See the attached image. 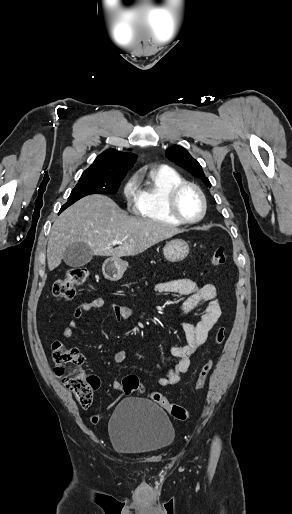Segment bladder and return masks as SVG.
I'll use <instances>...</instances> for the list:
<instances>
[{"mask_svg": "<svg viewBox=\"0 0 292 514\" xmlns=\"http://www.w3.org/2000/svg\"><path fill=\"white\" fill-rule=\"evenodd\" d=\"M109 434L113 448L124 455H150L166 449L175 429L165 411L151 401L127 398L111 415Z\"/></svg>", "mask_w": 292, "mask_h": 514, "instance_id": "bladder-1", "label": "bladder"}]
</instances>
